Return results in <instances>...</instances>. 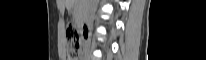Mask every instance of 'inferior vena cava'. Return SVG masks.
Segmentation results:
<instances>
[{
  "mask_svg": "<svg viewBox=\"0 0 206 60\" xmlns=\"http://www.w3.org/2000/svg\"><path fill=\"white\" fill-rule=\"evenodd\" d=\"M88 20L91 22L93 20V14L92 12L88 13Z\"/></svg>",
  "mask_w": 206,
  "mask_h": 60,
  "instance_id": "602c4592",
  "label": "inferior vena cava"
}]
</instances>
